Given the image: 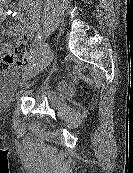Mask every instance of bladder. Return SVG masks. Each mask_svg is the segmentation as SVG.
<instances>
[{
	"instance_id": "obj_1",
	"label": "bladder",
	"mask_w": 133,
	"mask_h": 173,
	"mask_svg": "<svg viewBox=\"0 0 133 173\" xmlns=\"http://www.w3.org/2000/svg\"><path fill=\"white\" fill-rule=\"evenodd\" d=\"M19 89V71L16 68L0 70V101L12 99Z\"/></svg>"
}]
</instances>
